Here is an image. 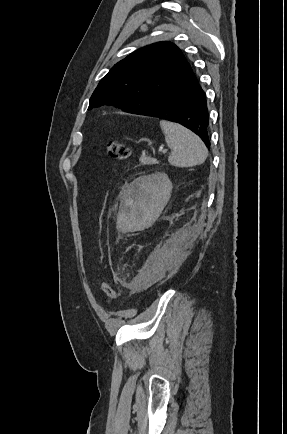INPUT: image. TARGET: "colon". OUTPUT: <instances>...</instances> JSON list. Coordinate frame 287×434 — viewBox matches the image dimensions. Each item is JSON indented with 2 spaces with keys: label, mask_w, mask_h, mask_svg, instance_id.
<instances>
[{
  "label": "colon",
  "mask_w": 287,
  "mask_h": 434,
  "mask_svg": "<svg viewBox=\"0 0 287 434\" xmlns=\"http://www.w3.org/2000/svg\"><path fill=\"white\" fill-rule=\"evenodd\" d=\"M104 151L109 157L116 160H125L129 158L131 154L130 148L119 141L107 142ZM101 288L105 296L106 302L111 303L112 300L116 297V290L113 284L109 281H104Z\"/></svg>",
  "instance_id": "colon-1"
}]
</instances>
